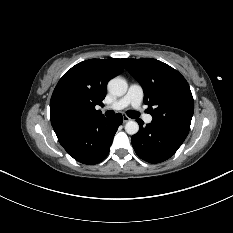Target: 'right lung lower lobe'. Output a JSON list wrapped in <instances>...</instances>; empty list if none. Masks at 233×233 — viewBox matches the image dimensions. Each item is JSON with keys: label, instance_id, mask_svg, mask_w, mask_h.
<instances>
[{"label": "right lung lower lobe", "instance_id": "right-lung-lower-lobe-1", "mask_svg": "<svg viewBox=\"0 0 233 233\" xmlns=\"http://www.w3.org/2000/svg\"><path fill=\"white\" fill-rule=\"evenodd\" d=\"M122 115L87 117L54 128L58 141L78 162L94 165L109 153L113 137L122 123Z\"/></svg>", "mask_w": 233, "mask_h": 233}]
</instances>
